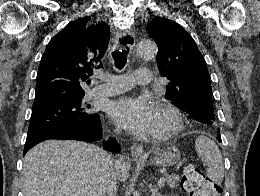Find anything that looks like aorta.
Instances as JSON below:
<instances>
[{"instance_id": "obj_1", "label": "aorta", "mask_w": 260, "mask_h": 196, "mask_svg": "<svg viewBox=\"0 0 260 196\" xmlns=\"http://www.w3.org/2000/svg\"><path fill=\"white\" fill-rule=\"evenodd\" d=\"M137 52L141 57L154 58L157 55V45L150 40L142 41L137 45Z\"/></svg>"}]
</instances>
